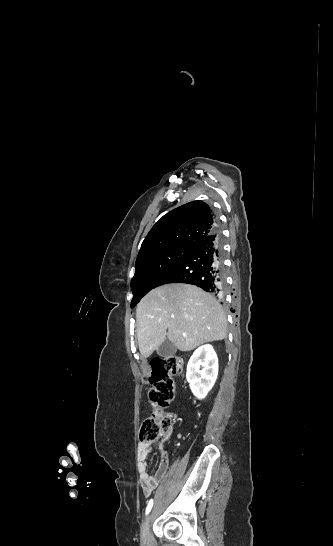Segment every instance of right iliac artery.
I'll use <instances>...</instances> for the list:
<instances>
[{"mask_svg": "<svg viewBox=\"0 0 333 546\" xmlns=\"http://www.w3.org/2000/svg\"><path fill=\"white\" fill-rule=\"evenodd\" d=\"M153 506V499H151L146 507V514H148Z\"/></svg>", "mask_w": 333, "mask_h": 546, "instance_id": "obj_1", "label": "right iliac artery"}]
</instances>
